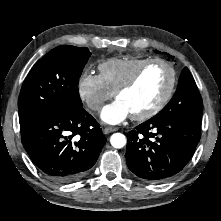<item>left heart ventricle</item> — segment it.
I'll use <instances>...</instances> for the list:
<instances>
[{
	"label": "left heart ventricle",
	"mask_w": 221,
	"mask_h": 221,
	"mask_svg": "<svg viewBox=\"0 0 221 221\" xmlns=\"http://www.w3.org/2000/svg\"><path fill=\"white\" fill-rule=\"evenodd\" d=\"M169 84V72L160 64L149 66L131 88L119 95L118 100L139 114L151 108L163 95Z\"/></svg>",
	"instance_id": "obj_1"
}]
</instances>
